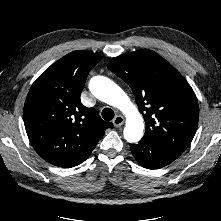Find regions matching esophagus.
<instances>
[{
  "label": "esophagus",
  "mask_w": 221,
  "mask_h": 221,
  "mask_svg": "<svg viewBox=\"0 0 221 221\" xmlns=\"http://www.w3.org/2000/svg\"><path fill=\"white\" fill-rule=\"evenodd\" d=\"M113 124L115 127H121L124 124V118L121 115H117L114 119H113Z\"/></svg>",
  "instance_id": "esophagus-1"
}]
</instances>
